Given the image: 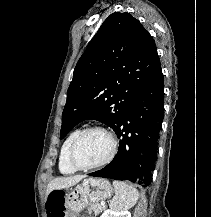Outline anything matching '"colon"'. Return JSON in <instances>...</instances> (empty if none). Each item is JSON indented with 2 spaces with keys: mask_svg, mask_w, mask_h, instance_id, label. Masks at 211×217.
<instances>
[{
  "mask_svg": "<svg viewBox=\"0 0 211 217\" xmlns=\"http://www.w3.org/2000/svg\"><path fill=\"white\" fill-rule=\"evenodd\" d=\"M49 217H64V197L60 191H53L47 202Z\"/></svg>",
  "mask_w": 211,
  "mask_h": 217,
  "instance_id": "1",
  "label": "colon"
}]
</instances>
